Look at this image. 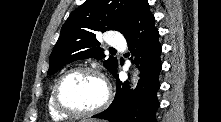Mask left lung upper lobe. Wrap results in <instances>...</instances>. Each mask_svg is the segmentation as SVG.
I'll list each match as a JSON object with an SVG mask.
<instances>
[{
  "instance_id": "obj_1",
  "label": "left lung upper lobe",
  "mask_w": 221,
  "mask_h": 122,
  "mask_svg": "<svg viewBox=\"0 0 221 122\" xmlns=\"http://www.w3.org/2000/svg\"><path fill=\"white\" fill-rule=\"evenodd\" d=\"M138 0H87L73 11L61 28L60 37L49 59L48 74L62 66L90 57L102 59L105 55L96 39L98 32L128 29ZM118 61L110 56L104 61L105 68L113 75Z\"/></svg>"
}]
</instances>
